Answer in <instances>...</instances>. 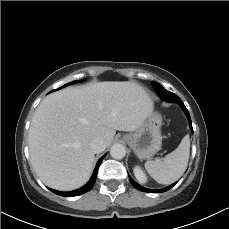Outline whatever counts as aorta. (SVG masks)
Returning <instances> with one entry per match:
<instances>
[{
	"mask_svg": "<svg viewBox=\"0 0 229 229\" xmlns=\"http://www.w3.org/2000/svg\"><path fill=\"white\" fill-rule=\"evenodd\" d=\"M126 154V149L122 144H114L110 149V155L114 159H123Z\"/></svg>",
	"mask_w": 229,
	"mask_h": 229,
	"instance_id": "aorta-1",
	"label": "aorta"
}]
</instances>
